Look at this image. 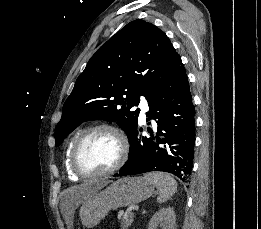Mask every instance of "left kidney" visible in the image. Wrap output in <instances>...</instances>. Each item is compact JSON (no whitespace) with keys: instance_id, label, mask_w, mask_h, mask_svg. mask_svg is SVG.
<instances>
[{"instance_id":"left-kidney-1","label":"left kidney","mask_w":261,"mask_h":229,"mask_svg":"<svg viewBox=\"0 0 261 229\" xmlns=\"http://www.w3.org/2000/svg\"><path fill=\"white\" fill-rule=\"evenodd\" d=\"M156 227H161V229H176V215L172 207L168 209H160L152 219L149 221L148 229H156Z\"/></svg>"}]
</instances>
